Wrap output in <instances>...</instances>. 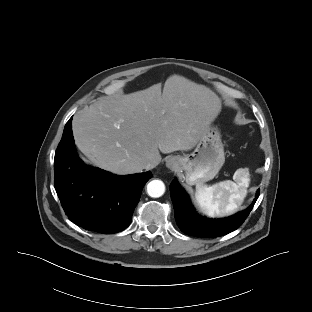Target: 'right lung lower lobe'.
<instances>
[{"label":"right lung lower lobe","mask_w":312,"mask_h":312,"mask_svg":"<svg viewBox=\"0 0 312 312\" xmlns=\"http://www.w3.org/2000/svg\"><path fill=\"white\" fill-rule=\"evenodd\" d=\"M72 118L66 123L54 159L55 189L68 218L76 225L103 234L127 228L146 182L148 171L118 176L85 165L76 153Z\"/></svg>","instance_id":"98d812e1"}]
</instances>
